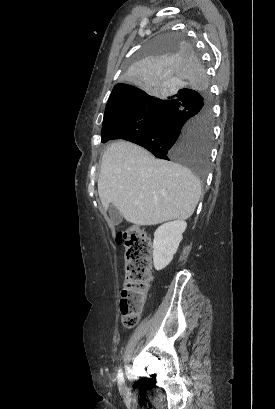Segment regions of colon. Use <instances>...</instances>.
<instances>
[{
  "mask_svg": "<svg viewBox=\"0 0 275 409\" xmlns=\"http://www.w3.org/2000/svg\"><path fill=\"white\" fill-rule=\"evenodd\" d=\"M116 243L125 249V268L120 313L127 330L139 322L151 285L150 260L153 250L144 229L137 225L121 229Z\"/></svg>",
  "mask_w": 275,
  "mask_h": 409,
  "instance_id": "obj_1",
  "label": "colon"
}]
</instances>
